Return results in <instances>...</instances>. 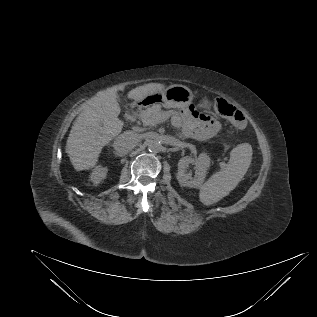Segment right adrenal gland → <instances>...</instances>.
<instances>
[{"instance_id": "obj_1", "label": "right adrenal gland", "mask_w": 317, "mask_h": 317, "mask_svg": "<svg viewBox=\"0 0 317 317\" xmlns=\"http://www.w3.org/2000/svg\"><path fill=\"white\" fill-rule=\"evenodd\" d=\"M115 156H120L117 152L113 151Z\"/></svg>"}]
</instances>
